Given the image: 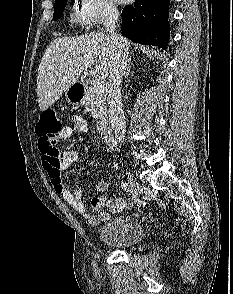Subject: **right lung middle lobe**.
Here are the masks:
<instances>
[{"label": "right lung middle lobe", "mask_w": 233, "mask_h": 294, "mask_svg": "<svg viewBox=\"0 0 233 294\" xmlns=\"http://www.w3.org/2000/svg\"><path fill=\"white\" fill-rule=\"evenodd\" d=\"M67 4V0H55L54 5V14H53V20H58L65 9V6Z\"/></svg>", "instance_id": "1"}]
</instances>
